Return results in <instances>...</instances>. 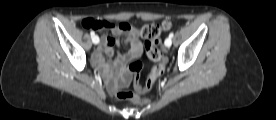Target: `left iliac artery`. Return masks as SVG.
Returning a JSON list of instances; mask_svg holds the SVG:
<instances>
[{"label":"left iliac artery","instance_id":"1","mask_svg":"<svg viewBox=\"0 0 276 120\" xmlns=\"http://www.w3.org/2000/svg\"><path fill=\"white\" fill-rule=\"evenodd\" d=\"M174 34L173 33H170L169 34V38H173Z\"/></svg>","mask_w":276,"mask_h":120}]
</instances>
